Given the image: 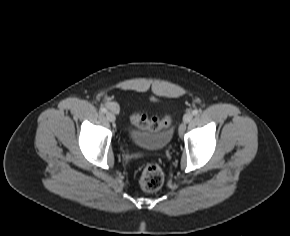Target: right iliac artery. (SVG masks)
Wrapping results in <instances>:
<instances>
[{"mask_svg": "<svg viewBox=\"0 0 290 236\" xmlns=\"http://www.w3.org/2000/svg\"><path fill=\"white\" fill-rule=\"evenodd\" d=\"M101 112H103V113H106L107 112V109L105 108V107H101Z\"/></svg>", "mask_w": 290, "mask_h": 236, "instance_id": "obj_1", "label": "right iliac artery"}]
</instances>
